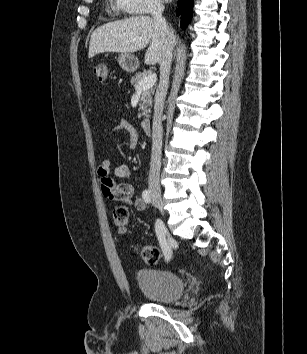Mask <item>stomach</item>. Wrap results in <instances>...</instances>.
<instances>
[{"instance_id": "obj_1", "label": "stomach", "mask_w": 307, "mask_h": 354, "mask_svg": "<svg viewBox=\"0 0 307 354\" xmlns=\"http://www.w3.org/2000/svg\"><path fill=\"white\" fill-rule=\"evenodd\" d=\"M118 63L126 72H134L139 66L138 58L129 53H122L119 55Z\"/></svg>"}]
</instances>
